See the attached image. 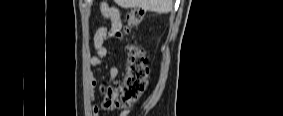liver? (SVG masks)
Here are the masks:
<instances>
[{
	"instance_id": "6515ba94",
	"label": "liver",
	"mask_w": 283,
	"mask_h": 116,
	"mask_svg": "<svg viewBox=\"0 0 283 116\" xmlns=\"http://www.w3.org/2000/svg\"><path fill=\"white\" fill-rule=\"evenodd\" d=\"M122 8H142L145 11L168 13L173 8V0H114Z\"/></svg>"
}]
</instances>
